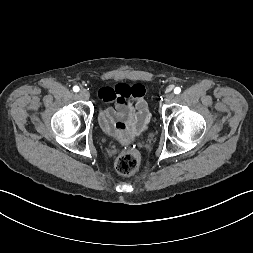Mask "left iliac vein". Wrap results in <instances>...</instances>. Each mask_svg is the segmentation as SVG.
Here are the masks:
<instances>
[{"label":"left iliac vein","instance_id":"1","mask_svg":"<svg viewBox=\"0 0 253 253\" xmlns=\"http://www.w3.org/2000/svg\"><path fill=\"white\" fill-rule=\"evenodd\" d=\"M174 99V94L173 93H168L164 97V101L166 103H170Z\"/></svg>","mask_w":253,"mask_h":253}]
</instances>
